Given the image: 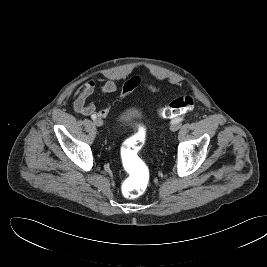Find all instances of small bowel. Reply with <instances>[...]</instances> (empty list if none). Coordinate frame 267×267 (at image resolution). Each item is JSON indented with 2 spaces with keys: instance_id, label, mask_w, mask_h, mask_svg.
Wrapping results in <instances>:
<instances>
[{
  "instance_id": "obj_1",
  "label": "small bowel",
  "mask_w": 267,
  "mask_h": 267,
  "mask_svg": "<svg viewBox=\"0 0 267 267\" xmlns=\"http://www.w3.org/2000/svg\"><path fill=\"white\" fill-rule=\"evenodd\" d=\"M141 80L139 77H131L128 79L118 95L115 102H118L125 98L129 93H131L137 86H139ZM96 89V84L93 80H86L82 83L74 92V110L76 113L82 116H92L97 114L98 117L105 118L110 112L111 105H108L100 110H97L95 104L88 102V99L92 96ZM118 89L117 83L115 80L107 79L104 80L100 92L103 95H108L116 92Z\"/></svg>"
}]
</instances>
